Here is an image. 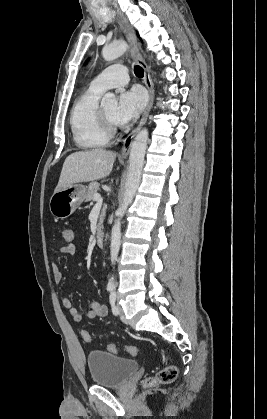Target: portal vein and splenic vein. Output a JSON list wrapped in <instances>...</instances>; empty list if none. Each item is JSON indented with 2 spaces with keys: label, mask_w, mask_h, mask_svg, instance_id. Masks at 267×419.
<instances>
[{
  "label": "portal vein and splenic vein",
  "mask_w": 267,
  "mask_h": 419,
  "mask_svg": "<svg viewBox=\"0 0 267 419\" xmlns=\"http://www.w3.org/2000/svg\"><path fill=\"white\" fill-rule=\"evenodd\" d=\"M94 200L96 201L97 205H101L102 202H103V199H102L101 195L98 194V193L94 195Z\"/></svg>",
  "instance_id": "obj_1"
}]
</instances>
